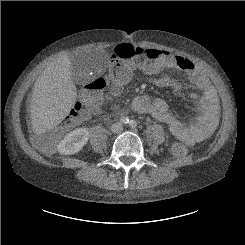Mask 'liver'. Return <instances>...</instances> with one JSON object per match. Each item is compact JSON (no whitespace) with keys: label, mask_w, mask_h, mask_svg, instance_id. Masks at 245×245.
Wrapping results in <instances>:
<instances>
[{"label":"liver","mask_w":245,"mask_h":245,"mask_svg":"<svg viewBox=\"0 0 245 245\" xmlns=\"http://www.w3.org/2000/svg\"><path fill=\"white\" fill-rule=\"evenodd\" d=\"M76 101L71 58L62 55L37 78L30 105L31 124L41 135L61 123Z\"/></svg>","instance_id":"1"}]
</instances>
